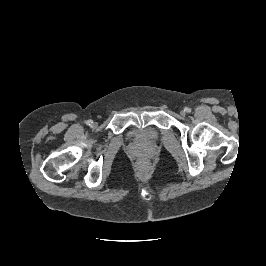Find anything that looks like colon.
I'll use <instances>...</instances> for the list:
<instances>
[{
	"mask_svg": "<svg viewBox=\"0 0 266 266\" xmlns=\"http://www.w3.org/2000/svg\"><path fill=\"white\" fill-rule=\"evenodd\" d=\"M149 167H150V164H149V162L146 159L139 160V162H138V168L141 171H143V172L148 171L149 170Z\"/></svg>",
	"mask_w": 266,
	"mask_h": 266,
	"instance_id": "colon-1",
	"label": "colon"
}]
</instances>
